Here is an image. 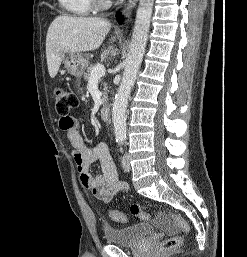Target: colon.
I'll return each mask as SVG.
<instances>
[{
  "label": "colon",
  "mask_w": 247,
  "mask_h": 257,
  "mask_svg": "<svg viewBox=\"0 0 247 257\" xmlns=\"http://www.w3.org/2000/svg\"><path fill=\"white\" fill-rule=\"evenodd\" d=\"M54 94L56 99V112L60 116L62 124L69 126L71 124V117L69 114L73 109L77 108L79 103L78 98L70 89L64 86H57L54 90ZM130 211L133 215L143 220H148L150 218L149 214L138 203L132 204ZM166 215L182 232L188 231V224L183 217L175 213H167ZM109 216L114 222L124 223L127 221L126 216L117 210L111 211ZM181 242L182 237L180 235L171 236L160 244V252H172L180 246Z\"/></svg>",
  "instance_id": "5ec220e1"
}]
</instances>
